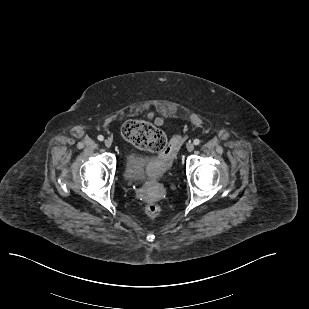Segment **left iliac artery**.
I'll return each instance as SVG.
<instances>
[{
  "label": "left iliac artery",
  "mask_w": 309,
  "mask_h": 309,
  "mask_svg": "<svg viewBox=\"0 0 309 309\" xmlns=\"http://www.w3.org/2000/svg\"><path fill=\"white\" fill-rule=\"evenodd\" d=\"M193 143H194V145H199V144H200V140H199V139H195V140L193 141Z\"/></svg>",
  "instance_id": "1"
}]
</instances>
